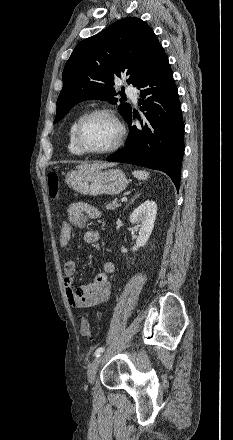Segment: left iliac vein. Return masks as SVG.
<instances>
[{"mask_svg": "<svg viewBox=\"0 0 233 440\" xmlns=\"http://www.w3.org/2000/svg\"><path fill=\"white\" fill-rule=\"evenodd\" d=\"M102 360H103V355H100L99 357H96L93 360V362L90 364V366L88 368V373H87L88 381L90 384L94 383L98 367L101 364Z\"/></svg>", "mask_w": 233, "mask_h": 440, "instance_id": "obj_1", "label": "left iliac vein"}]
</instances>
